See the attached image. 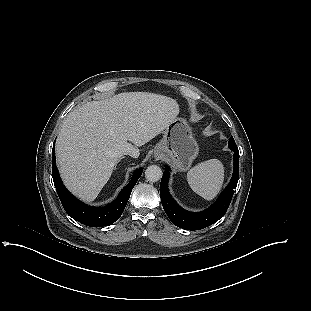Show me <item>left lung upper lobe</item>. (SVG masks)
Segmentation results:
<instances>
[{"instance_id":"left-lung-upper-lobe-1","label":"left lung upper lobe","mask_w":311,"mask_h":311,"mask_svg":"<svg viewBox=\"0 0 311 311\" xmlns=\"http://www.w3.org/2000/svg\"><path fill=\"white\" fill-rule=\"evenodd\" d=\"M229 146H236V143H235L233 137H231V138L229 139Z\"/></svg>"}]
</instances>
